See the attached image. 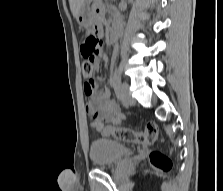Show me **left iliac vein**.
Returning <instances> with one entry per match:
<instances>
[{
	"label": "left iliac vein",
	"instance_id": "left-iliac-vein-1",
	"mask_svg": "<svg viewBox=\"0 0 223 191\" xmlns=\"http://www.w3.org/2000/svg\"><path fill=\"white\" fill-rule=\"evenodd\" d=\"M119 94L122 102L126 106H133L135 105V100L131 97L129 92V86L126 83L120 84Z\"/></svg>",
	"mask_w": 223,
	"mask_h": 191
}]
</instances>
